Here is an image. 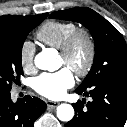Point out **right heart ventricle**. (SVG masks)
Segmentation results:
<instances>
[{
	"instance_id": "e07e8e85",
	"label": "right heart ventricle",
	"mask_w": 127,
	"mask_h": 127,
	"mask_svg": "<svg viewBox=\"0 0 127 127\" xmlns=\"http://www.w3.org/2000/svg\"><path fill=\"white\" fill-rule=\"evenodd\" d=\"M76 29L77 25L73 22L49 20L39 27L36 37L42 44L60 49Z\"/></svg>"
}]
</instances>
